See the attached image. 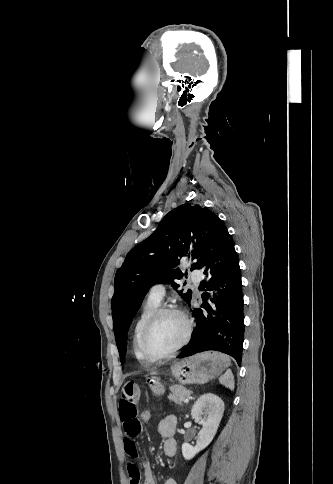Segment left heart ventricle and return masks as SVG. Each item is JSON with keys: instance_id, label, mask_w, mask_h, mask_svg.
Instances as JSON below:
<instances>
[{"instance_id": "left-heart-ventricle-1", "label": "left heart ventricle", "mask_w": 333, "mask_h": 484, "mask_svg": "<svg viewBox=\"0 0 333 484\" xmlns=\"http://www.w3.org/2000/svg\"><path fill=\"white\" fill-rule=\"evenodd\" d=\"M186 326L183 319L176 314L162 316L153 326L148 349L154 355H163L174 349L183 339Z\"/></svg>"}]
</instances>
